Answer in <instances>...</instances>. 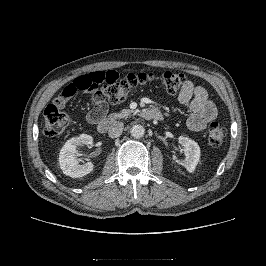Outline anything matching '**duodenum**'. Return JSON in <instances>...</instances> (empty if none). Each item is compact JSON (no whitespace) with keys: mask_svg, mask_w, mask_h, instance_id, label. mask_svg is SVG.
I'll list each match as a JSON object with an SVG mask.
<instances>
[{"mask_svg":"<svg viewBox=\"0 0 266 266\" xmlns=\"http://www.w3.org/2000/svg\"><path fill=\"white\" fill-rule=\"evenodd\" d=\"M140 114L146 120H161L162 119L161 112L153 108H145L141 111ZM89 119L91 123L96 125L97 130L100 133H106L112 127V125L116 122L117 116L116 115L104 116L98 110H91L89 112Z\"/></svg>","mask_w":266,"mask_h":266,"instance_id":"duodenum-1","label":"duodenum"}]
</instances>
